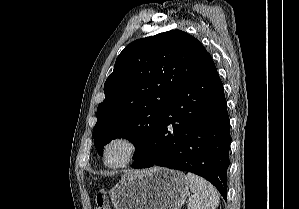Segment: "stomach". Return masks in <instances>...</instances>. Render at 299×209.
Listing matches in <instances>:
<instances>
[{
	"mask_svg": "<svg viewBox=\"0 0 299 209\" xmlns=\"http://www.w3.org/2000/svg\"><path fill=\"white\" fill-rule=\"evenodd\" d=\"M188 195L185 174L162 167L129 172L110 191L115 209H180Z\"/></svg>",
	"mask_w": 299,
	"mask_h": 209,
	"instance_id": "obj_1",
	"label": "stomach"
}]
</instances>
